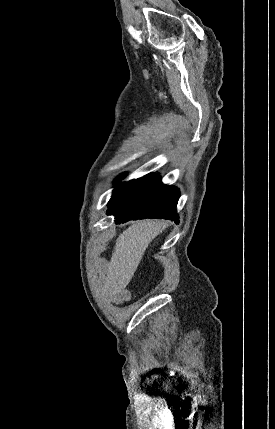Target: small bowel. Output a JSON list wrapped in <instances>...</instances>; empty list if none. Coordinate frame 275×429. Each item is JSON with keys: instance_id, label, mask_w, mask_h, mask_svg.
<instances>
[{"instance_id": "c3829d8e", "label": "small bowel", "mask_w": 275, "mask_h": 429, "mask_svg": "<svg viewBox=\"0 0 275 429\" xmlns=\"http://www.w3.org/2000/svg\"><path fill=\"white\" fill-rule=\"evenodd\" d=\"M130 292L127 289H117L111 293L110 300L115 304H121L130 299Z\"/></svg>"}]
</instances>
